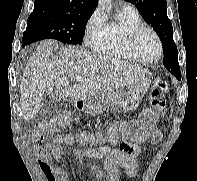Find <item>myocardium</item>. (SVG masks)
<instances>
[{
  "label": "myocardium",
  "mask_w": 197,
  "mask_h": 181,
  "mask_svg": "<svg viewBox=\"0 0 197 181\" xmlns=\"http://www.w3.org/2000/svg\"><path fill=\"white\" fill-rule=\"evenodd\" d=\"M146 32L150 33L155 38L157 45H158V49H159V53H158L157 58L155 60H151V61L143 58L140 51H139V48H138L139 39ZM128 44H129V48H130L131 52L133 53V55L135 56V58L138 61H140L141 63L155 64L162 57L163 45H162L161 39H160L159 35L157 34V32L153 28H151L150 26L143 24V25L136 27L130 34Z\"/></svg>",
  "instance_id": "f54148a6"
}]
</instances>
